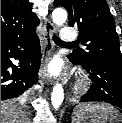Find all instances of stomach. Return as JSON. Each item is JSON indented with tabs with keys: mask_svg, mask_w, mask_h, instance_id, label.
<instances>
[{
	"mask_svg": "<svg viewBox=\"0 0 122 123\" xmlns=\"http://www.w3.org/2000/svg\"><path fill=\"white\" fill-rule=\"evenodd\" d=\"M85 120H86V116H82V117L79 119V123L84 122Z\"/></svg>",
	"mask_w": 122,
	"mask_h": 123,
	"instance_id": "1",
	"label": "stomach"
}]
</instances>
